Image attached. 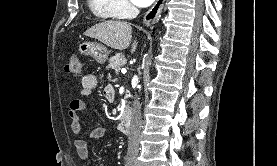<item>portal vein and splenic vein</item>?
I'll use <instances>...</instances> for the list:
<instances>
[{"instance_id": "1", "label": "portal vein and splenic vein", "mask_w": 277, "mask_h": 166, "mask_svg": "<svg viewBox=\"0 0 277 166\" xmlns=\"http://www.w3.org/2000/svg\"><path fill=\"white\" fill-rule=\"evenodd\" d=\"M121 72H122V73H126V69L123 68V69L121 70Z\"/></svg>"}]
</instances>
